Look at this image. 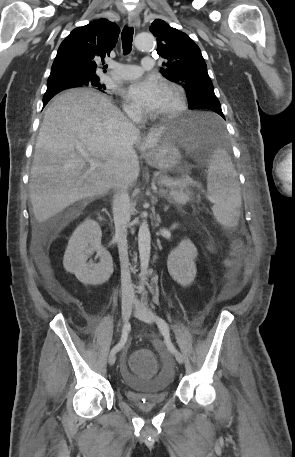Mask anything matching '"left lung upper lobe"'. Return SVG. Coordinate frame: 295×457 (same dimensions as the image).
Returning <instances> with one entry per match:
<instances>
[{
    "label": "left lung upper lobe",
    "mask_w": 295,
    "mask_h": 457,
    "mask_svg": "<svg viewBox=\"0 0 295 457\" xmlns=\"http://www.w3.org/2000/svg\"><path fill=\"white\" fill-rule=\"evenodd\" d=\"M150 31L157 38V53L165 59L161 74L186 90L191 108L205 100L219 103L197 44L160 19L151 24Z\"/></svg>",
    "instance_id": "obj_1"
}]
</instances>
